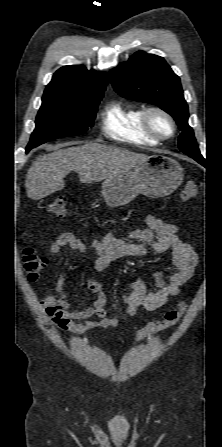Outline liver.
Here are the masks:
<instances>
[{"mask_svg": "<svg viewBox=\"0 0 222 447\" xmlns=\"http://www.w3.org/2000/svg\"><path fill=\"white\" fill-rule=\"evenodd\" d=\"M147 158L145 154L98 143L59 149L39 156L28 169L27 196L40 200L62 190L64 178L71 171L79 174L82 183H93L130 170Z\"/></svg>", "mask_w": 222, "mask_h": 447, "instance_id": "6515ba94", "label": "liver"}]
</instances>
